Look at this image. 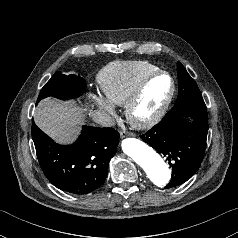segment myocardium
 Returning <instances> with one entry per match:
<instances>
[{
	"instance_id": "f54148a6",
	"label": "myocardium",
	"mask_w": 238,
	"mask_h": 238,
	"mask_svg": "<svg viewBox=\"0 0 238 238\" xmlns=\"http://www.w3.org/2000/svg\"><path fill=\"white\" fill-rule=\"evenodd\" d=\"M167 77L170 82V91L162 104V106L159 108V110L152 115L149 118L146 119H138L134 115L135 108L139 101L141 100L148 84L158 78V77ZM176 91V86L173 77L166 71H156L148 76H146L136 87L134 92L131 94L127 102L125 103V116L127 121L136 129H148L156 125L158 122H160L163 117L168 112L170 105L173 101L174 95Z\"/></svg>"
}]
</instances>
